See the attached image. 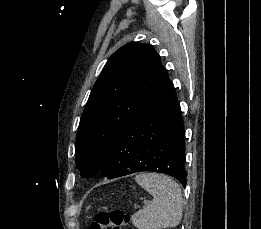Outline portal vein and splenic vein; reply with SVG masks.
<instances>
[{
  "mask_svg": "<svg viewBox=\"0 0 261 229\" xmlns=\"http://www.w3.org/2000/svg\"><path fill=\"white\" fill-rule=\"evenodd\" d=\"M131 207H132V208H137V207H138V204H137V203H132V204H131Z\"/></svg>",
  "mask_w": 261,
  "mask_h": 229,
  "instance_id": "obj_1",
  "label": "portal vein and splenic vein"
}]
</instances>
